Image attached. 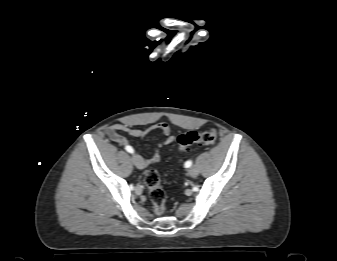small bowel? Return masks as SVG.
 <instances>
[{"label": "small bowel", "instance_id": "c3829d8e", "mask_svg": "<svg viewBox=\"0 0 337 261\" xmlns=\"http://www.w3.org/2000/svg\"><path fill=\"white\" fill-rule=\"evenodd\" d=\"M153 131H160L165 136V139L157 146L156 150L150 157L142 158L144 166H147L157 163L160 160V149L163 146L171 144L175 139L174 135L171 134V129L167 123H159L146 129L134 128L124 124H114L109 126L105 130V133L113 142L126 147L130 145H128L129 143L127 138L122 134L123 132L128 133L134 138H143Z\"/></svg>", "mask_w": 337, "mask_h": 261}]
</instances>
